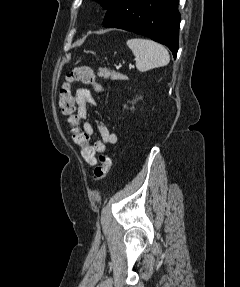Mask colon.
I'll return each instance as SVG.
<instances>
[{"instance_id":"5ec220e1","label":"colon","mask_w":240,"mask_h":287,"mask_svg":"<svg viewBox=\"0 0 240 287\" xmlns=\"http://www.w3.org/2000/svg\"><path fill=\"white\" fill-rule=\"evenodd\" d=\"M74 82L91 85L96 92H101L102 86L96 81L91 68L87 66L75 67L67 73L65 82L60 88L59 107L61 111L68 116L73 141L79 146L83 159L95 165L94 179L96 181H103L111 169V158L104 152L97 153L93 144L90 142V136L79 126L80 120L74 113V96L70 87Z\"/></svg>"}]
</instances>
